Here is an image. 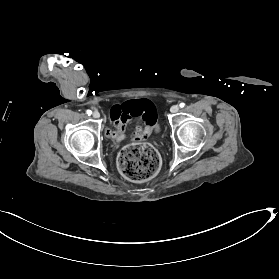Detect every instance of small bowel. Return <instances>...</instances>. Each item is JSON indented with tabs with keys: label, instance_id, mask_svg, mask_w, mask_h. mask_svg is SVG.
I'll return each mask as SVG.
<instances>
[{
	"label": "small bowel",
	"instance_id": "obj_1",
	"mask_svg": "<svg viewBox=\"0 0 279 279\" xmlns=\"http://www.w3.org/2000/svg\"><path fill=\"white\" fill-rule=\"evenodd\" d=\"M110 118L113 127L105 132L108 138L117 143L125 139V128L130 120L134 119L135 130L130 134V138L139 141L145 139L155 126L156 111L150 101L136 100L113 106Z\"/></svg>",
	"mask_w": 279,
	"mask_h": 279
}]
</instances>
